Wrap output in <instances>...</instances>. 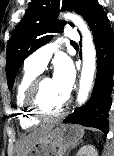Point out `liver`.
Returning <instances> with one entry per match:
<instances>
[{"instance_id":"6515ba94","label":"liver","mask_w":114,"mask_h":156,"mask_svg":"<svg viewBox=\"0 0 114 156\" xmlns=\"http://www.w3.org/2000/svg\"><path fill=\"white\" fill-rule=\"evenodd\" d=\"M52 125L45 124L20 138L16 146V156H27L32 147L47 133Z\"/></svg>"}]
</instances>
